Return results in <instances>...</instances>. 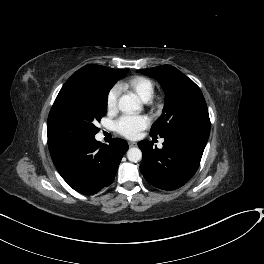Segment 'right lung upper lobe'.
I'll return each mask as SVG.
<instances>
[{"instance_id": "1", "label": "right lung upper lobe", "mask_w": 264, "mask_h": 264, "mask_svg": "<svg viewBox=\"0 0 264 264\" xmlns=\"http://www.w3.org/2000/svg\"><path fill=\"white\" fill-rule=\"evenodd\" d=\"M93 68H105V67L100 66V65H95V64H89V65L82 67L81 69H79L75 73L85 71V70H89V69H93ZM65 144H67V142H63V141H59V140L54 139L51 136V134L48 132V147H49L50 153L53 152L54 150L62 147Z\"/></svg>"}]
</instances>
